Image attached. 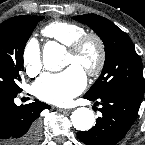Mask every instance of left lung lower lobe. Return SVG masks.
Returning a JSON list of instances; mask_svg holds the SVG:
<instances>
[{"mask_svg": "<svg viewBox=\"0 0 145 145\" xmlns=\"http://www.w3.org/2000/svg\"><path fill=\"white\" fill-rule=\"evenodd\" d=\"M90 101H100L102 117L96 125L85 132H78L77 137L86 145H115L133 125L142 99L127 93H112L93 98L84 95ZM99 104V102H96Z\"/></svg>", "mask_w": 145, "mask_h": 145, "instance_id": "1", "label": "left lung lower lobe"}]
</instances>
